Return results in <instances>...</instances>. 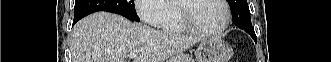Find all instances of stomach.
<instances>
[{
  "instance_id": "0dacf381",
  "label": "stomach",
  "mask_w": 331,
  "mask_h": 62,
  "mask_svg": "<svg viewBox=\"0 0 331 62\" xmlns=\"http://www.w3.org/2000/svg\"><path fill=\"white\" fill-rule=\"evenodd\" d=\"M231 55L232 48L217 38L202 40L196 50L198 62H228Z\"/></svg>"
}]
</instances>
